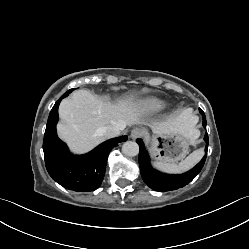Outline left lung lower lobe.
Segmentation results:
<instances>
[{
  "mask_svg": "<svg viewBox=\"0 0 249 249\" xmlns=\"http://www.w3.org/2000/svg\"><path fill=\"white\" fill-rule=\"evenodd\" d=\"M200 113L203 116V126L206 127L205 114L201 109ZM204 140L206 141V147H205L206 154L193 169L181 175H167L159 171H156L151 167L149 156L147 150L145 149L144 143L142 140L137 139L136 141L140 147L139 166H140L141 176L144 182L153 190L160 192L176 190L190 183L195 178V176L201 171L205 163L207 156V149H208L207 132L205 134Z\"/></svg>",
  "mask_w": 249,
  "mask_h": 249,
  "instance_id": "obj_1",
  "label": "left lung lower lobe"
}]
</instances>
